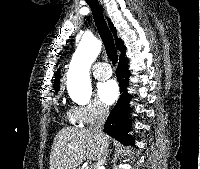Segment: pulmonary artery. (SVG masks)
I'll use <instances>...</instances> for the list:
<instances>
[{"label": "pulmonary artery", "instance_id": "e3ab8cb5", "mask_svg": "<svg viewBox=\"0 0 200 169\" xmlns=\"http://www.w3.org/2000/svg\"><path fill=\"white\" fill-rule=\"evenodd\" d=\"M93 75L99 80H104L112 75V70L106 62H98L93 67Z\"/></svg>", "mask_w": 200, "mask_h": 169}]
</instances>
